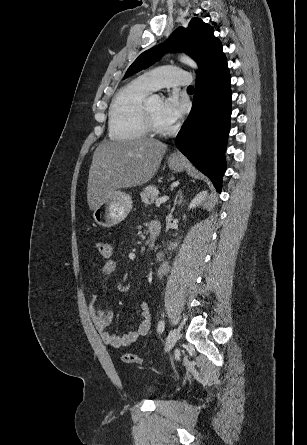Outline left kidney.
I'll use <instances>...</instances> for the list:
<instances>
[{"label": "left kidney", "instance_id": "5707ae66", "mask_svg": "<svg viewBox=\"0 0 307 445\" xmlns=\"http://www.w3.org/2000/svg\"><path fill=\"white\" fill-rule=\"evenodd\" d=\"M206 194H207V190H202V192H199V194H197V196H195V198H193V200H191V202L189 204V208H195V206H198V204H200V202H202V200H205Z\"/></svg>", "mask_w": 307, "mask_h": 445}]
</instances>
